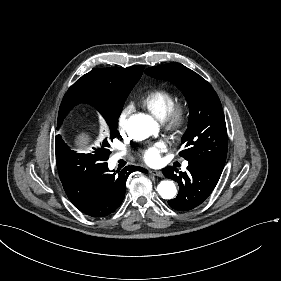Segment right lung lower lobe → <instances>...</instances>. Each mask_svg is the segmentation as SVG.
<instances>
[{"label":"right lung lower lobe","mask_w":281,"mask_h":281,"mask_svg":"<svg viewBox=\"0 0 281 281\" xmlns=\"http://www.w3.org/2000/svg\"><path fill=\"white\" fill-rule=\"evenodd\" d=\"M56 154L68 160H76L84 169L76 175L62 179L64 190L81 212L91 217H104L114 212L125 197V181L133 171L147 172L137 166H127L120 172H110L107 159L98 152L77 154L70 150L60 135L56 136Z\"/></svg>","instance_id":"98d812e1"}]
</instances>
